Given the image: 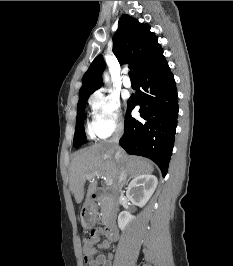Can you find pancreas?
Listing matches in <instances>:
<instances>
[{"label": "pancreas", "mask_w": 233, "mask_h": 266, "mask_svg": "<svg viewBox=\"0 0 233 266\" xmlns=\"http://www.w3.org/2000/svg\"><path fill=\"white\" fill-rule=\"evenodd\" d=\"M100 207H101V215L102 217H105L108 209V204L106 203L105 200H101Z\"/></svg>", "instance_id": "cf45deb5"}]
</instances>
